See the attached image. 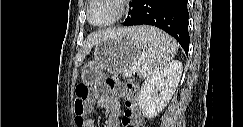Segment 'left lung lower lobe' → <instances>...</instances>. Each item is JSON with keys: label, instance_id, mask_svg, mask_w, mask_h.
<instances>
[{"label": "left lung lower lobe", "instance_id": "0a47b994", "mask_svg": "<svg viewBox=\"0 0 243 127\" xmlns=\"http://www.w3.org/2000/svg\"><path fill=\"white\" fill-rule=\"evenodd\" d=\"M123 25H153L173 36L189 50L187 0H136Z\"/></svg>", "mask_w": 243, "mask_h": 127}]
</instances>
